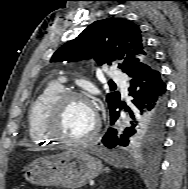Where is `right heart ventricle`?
Returning <instances> with one entry per match:
<instances>
[{
	"instance_id": "1",
	"label": "right heart ventricle",
	"mask_w": 188,
	"mask_h": 189,
	"mask_svg": "<svg viewBox=\"0 0 188 189\" xmlns=\"http://www.w3.org/2000/svg\"><path fill=\"white\" fill-rule=\"evenodd\" d=\"M63 90L61 82H50L30 104L27 122L32 143L39 145L54 142L44 131V115L51 101Z\"/></svg>"
}]
</instances>
